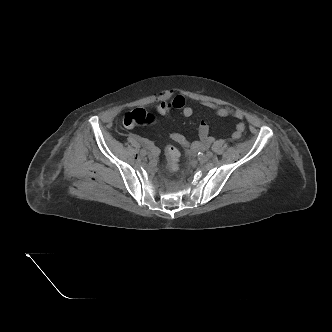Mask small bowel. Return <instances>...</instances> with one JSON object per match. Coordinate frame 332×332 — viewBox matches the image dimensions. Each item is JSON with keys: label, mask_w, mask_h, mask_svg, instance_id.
I'll use <instances>...</instances> for the list:
<instances>
[{"label": "small bowel", "mask_w": 332, "mask_h": 332, "mask_svg": "<svg viewBox=\"0 0 332 332\" xmlns=\"http://www.w3.org/2000/svg\"><path fill=\"white\" fill-rule=\"evenodd\" d=\"M202 106L213 111L219 117H234L238 120L244 118V113L239 110H232L227 107H221L210 101H201ZM172 109L180 110L181 114L185 118H189L193 115V108L187 105L186 98L183 95H173L171 93H165L162 96L161 102L157 105L156 110L161 115H168ZM245 130V124L243 122L237 123L235 130L232 133L234 139H239ZM199 141L189 142L187 138L181 133L174 132L170 135L171 139L177 144L191 148V149H203L207 147L212 141L213 137L209 133V125L205 120H201L198 127ZM150 150L152 155H157L158 150L152 144Z\"/></svg>", "instance_id": "1"}]
</instances>
